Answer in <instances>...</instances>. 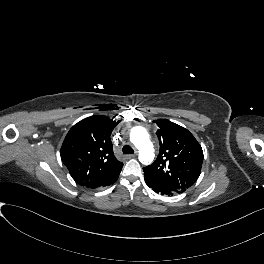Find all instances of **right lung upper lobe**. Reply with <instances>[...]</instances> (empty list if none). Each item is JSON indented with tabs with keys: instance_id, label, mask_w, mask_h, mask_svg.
Here are the masks:
<instances>
[{
	"instance_id": "cb5924a9",
	"label": "right lung upper lobe",
	"mask_w": 264,
	"mask_h": 264,
	"mask_svg": "<svg viewBox=\"0 0 264 264\" xmlns=\"http://www.w3.org/2000/svg\"><path fill=\"white\" fill-rule=\"evenodd\" d=\"M119 122L91 116L75 124L66 135L61 159L80 185L98 188L121 172L123 163L115 158L110 139Z\"/></svg>"
}]
</instances>
